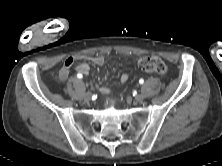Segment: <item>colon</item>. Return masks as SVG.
Masks as SVG:
<instances>
[{
    "instance_id": "5ec220e1",
    "label": "colon",
    "mask_w": 222,
    "mask_h": 166,
    "mask_svg": "<svg viewBox=\"0 0 222 166\" xmlns=\"http://www.w3.org/2000/svg\"><path fill=\"white\" fill-rule=\"evenodd\" d=\"M139 68L146 73L164 74L167 72L165 62L155 56L143 57L138 62Z\"/></svg>"
}]
</instances>
